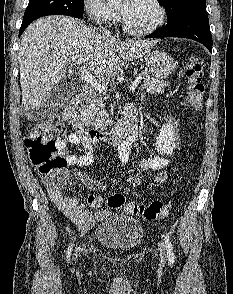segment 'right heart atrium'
<instances>
[{
	"label": "right heart atrium",
	"instance_id": "obj_1",
	"mask_svg": "<svg viewBox=\"0 0 233 294\" xmlns=\"http://www.w3.org/2000/svg\"><path fill=\"white\" fill-rule=\"evenodd\" d=\"M83 7L89 19L95 24L110 26L118 20L117 12L104 0H84Z\"/></svg>",
	"mask_w": 233,
	"mask_h": 294
}]
</instances>
